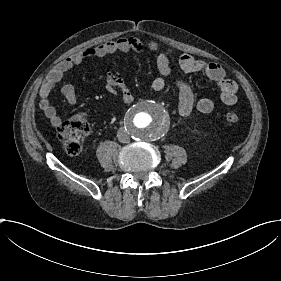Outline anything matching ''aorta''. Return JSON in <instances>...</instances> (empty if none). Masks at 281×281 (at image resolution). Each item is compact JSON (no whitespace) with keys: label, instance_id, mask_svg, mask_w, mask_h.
Listing matches in <instances>:
<instances>
[{"label":"aorta","instance_id":"1","mask_svg":"<svg viewBox=\"0 0 281 281\" xmlns=\"http://www.w3.org/2000/svg\"><path fill=\"white\" fill-rule=\"evenodd\" d=\"M126 126L136 140L152 141L168 131L170 117L160 103L144 100L130 108L126 116Z\"/></svg>","mask_w":281,"mask_h":281}]
</instances>
